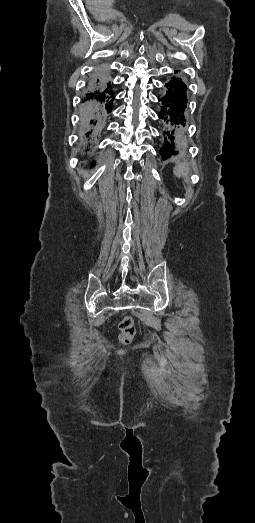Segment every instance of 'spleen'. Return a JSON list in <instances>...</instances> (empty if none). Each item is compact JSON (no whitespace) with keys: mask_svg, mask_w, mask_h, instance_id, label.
Instances as JSON below:
<instances>
[{"mask_svg":"<svg viewBox=\"0 0 255 523\" xmlns=\"http://www.w3.org/2000/svg\"><path fill=\"white\" fill-rule=\"evenodd\" d=\"M173 172L174 176H177V178H188L189 166L188 164H185V162H178Z\"/></svg>","mask_w":255,"mask_h":523,"instance_id":"3e777b00","label":"spleen"}]
</instances>
